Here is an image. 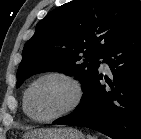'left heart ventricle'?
<instances>
[{"label":"left heart ventricle","instance_id":"left-heart-ventricle-1","mask_svg":"<svg viewBox=\"0 0 141 139\" xmlns=\"http://www.w3.org/2000/svg\"><path fill=\"white\" fill-rule=\"evenodd\" d=\"M72 98L73 89L69 83L59 78H47L32 89L29 108L34 116L48 118L65 109Z\"/></svg>","mask_w":141,"mask_h":139}]
</instances>
